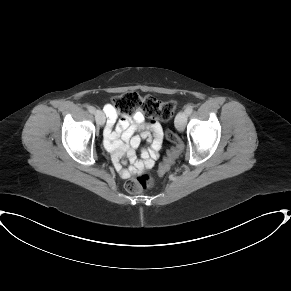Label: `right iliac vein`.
<instances>
[{
  "label": "right iliac vein",
  "mask_w": 291,
  "mask_h": 291,
  "mask_svg": "<svg viewBox=\"0 0 291 291\" xmlns=\"http://www.w3.org/2000/svg\"><path fill=\"white\" fill-rule=\"evenodd\" d=\"M95 119L98 125L103 126L105 123V115L102 111H95Z\"/></svg>",
  "instance_id": "63e3f726"
}]
</instances>
